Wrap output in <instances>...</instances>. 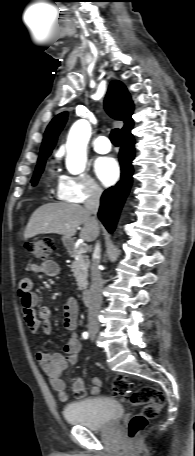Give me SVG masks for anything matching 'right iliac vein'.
Instances as JSON below:
<instances>
[{"label":"right iliac vein","mask_w":195,"mask_h":456,"mask_svg":"<svg viewBox=\"0 0 195 456\" xmlns=\"http://www.w3.org/2000/svg\"><path fill=\"white\" fill-rule=\"evenodd\" d=\"M89 332L91 335H95L98 332L97 327H90Z\"/></svg>","instance_id":"obj_1"}]
</instances>
